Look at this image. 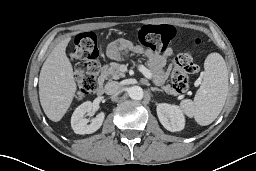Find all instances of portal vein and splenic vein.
<instances>
[{
    "instance_id": "18ae733b",
    "label": "portal vein and splenic vein",
    "mask_w": 256,
    "mask_h": 171,
    "mask_svg": "<svg viewBox=\"0 0 256 171\" xmlns=\"http://www.w3.org/2000/svg\"><path fill=\"white\" fill-rule=\"evenodd\" d=\"M138 70L147 78H152V73L144 65H138Z\"/></svg>"
}]
</instances>
